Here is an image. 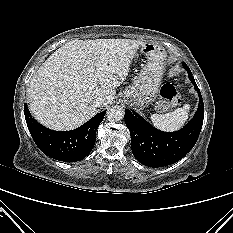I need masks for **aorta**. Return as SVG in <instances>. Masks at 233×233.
I'll use <instances>...</instances> for the list:
<instances>
[{"label": "aorta", "instance_id": "obj_1", "mask_svg": "<svg viewBox=\"0 0 233 233\" xmlns=\"http://www.w3.org/2000/svg\"><path fill=\"white\" fill-rule=\"evenodd\" d=\"M124 117V109L120 106H112L107 111V118L109 121L117 122Z\"/></svg>", "mask_w": 233, "mask_h": 233}]
</instances>
